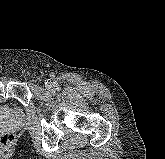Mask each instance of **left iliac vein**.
<instances>
[{"instance_id":"left-iliac-vein-1","label":"left iliac vein","mask_w":165,"mask_h":159,"mask_svg":"<svg viewBox=\"0 0 165 159\" xmlns=\"http://www.w3.org/2000/svg\"><path fill=\"white\" fill-rule=\"evenodd\" d=\"M47 89H51L53 87V85L51 83L47 84Z\"/></svg>"}]
</instances>
